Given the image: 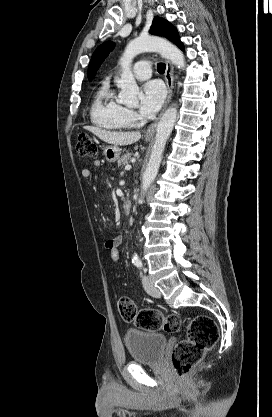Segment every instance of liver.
I'll return each instance as SVG.
<instances>
[{"mask_svg":"<svg viewBox=\"0 0 272 417\" xmlns=\"http://www.w3.org/2000/svg\"><path fill=\"white\" fill-rule=\"evenodd\" d=\"M84 129L113 145H131L141 138L140 132H112L95 126H84Z\"/></svg>","mask_w":272,"mask_h":417,"instance_id":"liver-1","label":"liver"}]
</instances>
